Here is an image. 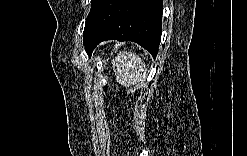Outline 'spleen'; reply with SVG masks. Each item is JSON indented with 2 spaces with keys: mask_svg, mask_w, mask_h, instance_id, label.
I'll use <instances>...</instances> for the list:
<instances>
[{
  "mask_svg": "<svg viewBox=\"0 0 247 156\" xmlns=\"http://www.w3.org/2000/svg\"><path fill=\"white\" fill-rule=\"evenodd\" d=\"M116 80L123 86H131L143 81L147 75L146 64L132 52H120L112 61Z\"/></svg>",
  "mask_w": 247,
  "mask_h": 156,
  "instance_id": "1",
  "label": "spleen"
}]
</instances>
